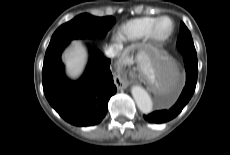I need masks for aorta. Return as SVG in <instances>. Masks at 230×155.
<instances>
[{"label": "aorta", "mask_w": 230, "mask_h": 155, "mask_svg": "<svg viewBox=\"0 0 230 155\" xmlns=\"http://www.w3.org/2000/svg\"><path fill=\"white\" fill-rule=\"evenodd\" d=\"M131 93L141 112L148 114L152 111V100L147 91L143 87L138 85L133 86L131 88Z\"/></svg>", "instance_id": "1"}]
</instances>
